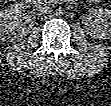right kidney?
<instances>
[{"label":"right kidney","instance_id":"1","mask_svg":"<svg viewBox=\"0 0 111 106\" xmlns=\"http://www.w3.org/2000/svg\"><path fill=\"white\" fill-rule=\"evenodd\" d=\"M25 10L26 7L22 2H16L1 11L0 35L3 41L20 40L31 31L35 18L25 15Z\"/></svg>","mask_w":111,"mask_h":106}]
</instances>
